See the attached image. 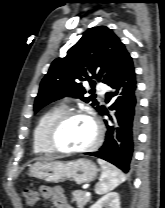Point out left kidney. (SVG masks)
<instances>
[{"mask_svg":"<svg viewBox=\"0 0 165 208\" xmlns=\"http://www.w3.org/2000/svg\"><path fill=\"white\" fill-rule=\"evenodd\" d=\"M90 208H120L119 195L116 192H111L101 197Z\"/></svg>","mask_w":165,"mask_h":208,"instance_id":"left-kidney-1","label":"left kidney"}]
</instances>
